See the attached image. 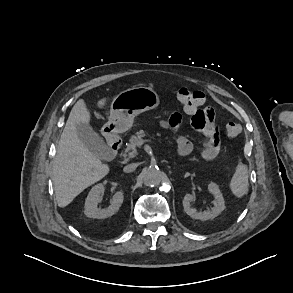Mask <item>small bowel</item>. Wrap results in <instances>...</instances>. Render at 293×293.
<instances>
[{
    "label": "small bowel",
    "mask_w": 293,
    "mask_h": 293,
    "mask_svg": "<svg viewBox=\"0 0 293 293\" xmlns=\"http://www.w3.org/2000/svg\"><path fill=\"white\" fill-rule=\"evenodd\" d=\"M188 113V112H187ZM192 117V128L203 135L200 142V156L206 161L214 160L220 152L219 128L216 123L215 112L211 108L200 110L199 115ZM182 115L174 112L169 119L160 121V126L169 129L177 136V151L181 155H188L194 149L193 142L181 132Z\"/></svg>",
    "instance_id": "obj_1"
}]
</instances>
